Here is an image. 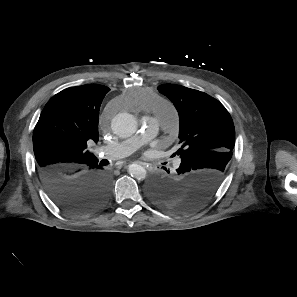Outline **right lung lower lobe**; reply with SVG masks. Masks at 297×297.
I'll return each mask as SVG.
<instances>
[{
    "label": "right lung lower lobe",
    "mask_w": 297,
    "mask_h": 297,
    "mask_svg": "<svg viewBox=\"0 0 297 297\" xmlns=\"http://www.w3.org/2000/svg\"><path fill=\"white\" fill-rule=\"evenodd\" d=\"M39 176L52 200L68 213H93L108 201L110 179L98 160L77 169H39Z\"/></svg>",
    "instance_id": "right-lung-lower-lobe-1"
}]
</instances>
